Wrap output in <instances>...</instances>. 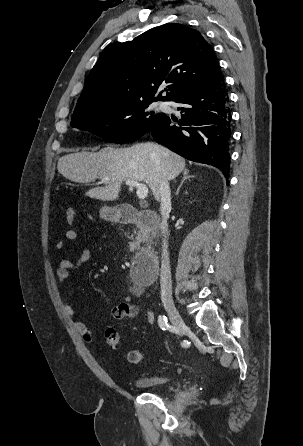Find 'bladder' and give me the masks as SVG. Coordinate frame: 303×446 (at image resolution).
I'll return each instance as SVG.
<instances>
[{
  "label": "bladder",
  "instance_id": "1",
  "mask_svg": "<svg viewBox=\"0 0 303 446\" xmlns=\"http://www.w3.org/2000/svg\"><path fill=\"white\" fill-rule=\"evenodd\" d=\"M176 383L175 376L167 373H145L134 379V385L144 389H158Z\"/></svg>",
  "mask_w": 303,
  "mask_h": 446
}]
</instances>
